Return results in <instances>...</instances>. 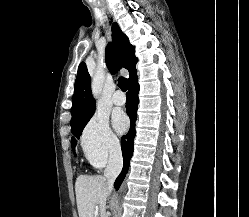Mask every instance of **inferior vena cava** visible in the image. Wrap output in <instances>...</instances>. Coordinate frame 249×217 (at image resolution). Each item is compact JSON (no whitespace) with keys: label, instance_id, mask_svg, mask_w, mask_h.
I'll return each mask as SVG.
<instances>
[{"label":"inferior vena cava","instance_id":"1","mask_svg":"<svg viewBox=\"0 0 249 217\" xmlns=\"http://www.w3.org/2000/svg\"><path fill=\"white\" fill-rule=\"evenodd\" d=\"M123 158L121 147L118 141H113L109 147V160L104 170V179L107 181L108 190L111 192L117 176L122 170Z\"/></svg>","mask_w":249,"mask_h":217}]
</instances>
